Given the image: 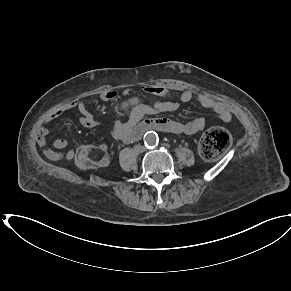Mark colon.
<instances>
[{
    "label": "colon",
    "instance_id": "5ec220e1",
    "mask_svg": "<svg viewBox=\"0 0 291 291\" xmlns=\"http://www.w3.org/2000/svg\"><path fill=\"white\" fill-rule=\"evenodd\" d=\"M128 102L120 104V110H125ZM231 144L228 131L222 127H212L205 132L200 142V153L207 160H214L223 155ZM108 158L105 152L95 145L81 146L76 155V164L79 168L101 167L106 165Z\"/></svg>",
    "mask_w": 291,
    "mask_h": 291
}]
</instances>
